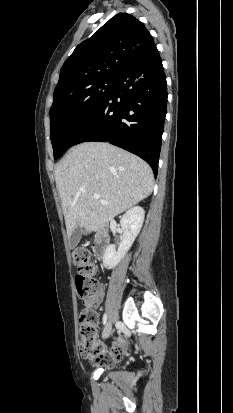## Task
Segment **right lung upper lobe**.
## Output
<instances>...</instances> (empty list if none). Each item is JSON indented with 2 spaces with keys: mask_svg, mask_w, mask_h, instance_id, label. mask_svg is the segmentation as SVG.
<instances>
[{
  "mask_svg": "<svg viewBox=\"0 0 233 413\" xmlns=\"http://www.w3.org/2000/svg\"><path fill=\"white\" fill-rule=\"evenodd\" d=\"M153 44V37L142 22L127 13L115 15L80 43L65 61L54 90V101L95 81L115 78L125 65Z\"/></svg>",
  "mask_w": 233,
  "mask_h": 413,
  "instance_id": "right-lung-upper-lobe-1",
  "label": "right lung upper lobe"
}]
</instances>
